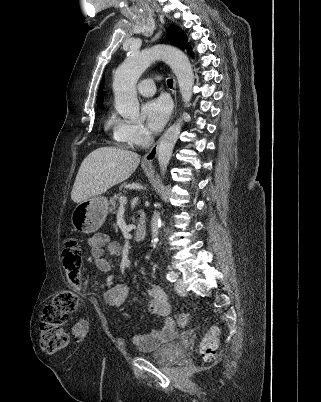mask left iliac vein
Segmentation results:
<instances>
[{
    "label": "left iliac vein",
    "mask_w": 321,
    "mask_h": 402,
    "mask_svg": "<svg viewBox=\"0 0 321 402\" xmlns=\"http://www.w3.org/2000/svg\"><path fill=\"white\" fill-rule=\"evenodd\" d=\"M174 286H175V290H176V292L178 294H180V295H186L187 294L186 287H185V285H184V283H183V281L181 279L178 278L176 280Z\"/></svg>",
    "instance_id": "1"
}]
</instances>
